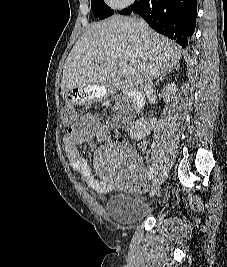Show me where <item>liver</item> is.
<instances>
[{
	"instance_id": "6515ba94",
	"label": "liver",
	"mask_w": 227,
	"mask_h": 267,
	"mask_svg": "<svg viewBox=\"0 0 227 267\" xmlns=\"http://www.w3.org/2000/svg\"><path fill=\"white\" fill-rule=\"evenodd\" d=\"M181 53L179 45L152 29L143 36L136 19L114 15L91 24L76 42L63 69L61 90L108 85L120 62L132 69L133 83L143 86L148 74L154 78L171 71Z\"/></svg>"
}]
</instances>
